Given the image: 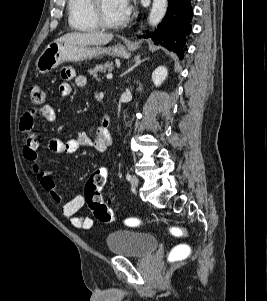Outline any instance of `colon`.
Instances as JSON below:
<instances>
[{"label":"colon","instance_id":"colon-1","mask_svg":"<svg viewBox=\"0 0 267 301\" xmlns=\"http://www.w3.org/2000/svg\"><path fill=\"white\" fill-rule=\"evenodd\" d=\"M29 95L32 104L35 106H41L46 101V94L42 87L38 85L30 87ZM108 177L109 170L107 167L98 168L91 174L85 185V201L91 209L94 217L103 223H111L114 221V213L102 197V189L106 184ZM127 222L131 226H138L140 224V220L137 218H130ZM171 233L175 236H181L183 234V230L180 227H173L171 229ZM189 255V246L184 244L177 245L169 253V261H182Z\"/></svg>","mask_w":267,"mask_h":301}]
</instances>
